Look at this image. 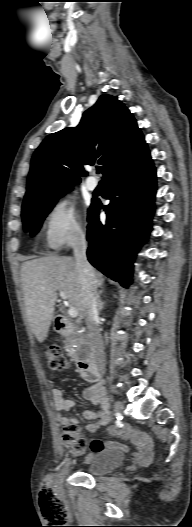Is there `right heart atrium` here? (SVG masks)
<instances>
[{"label": "right heart atrium", "mask_w": 192, "mask_h": 527, "mask_svg": "<svg viewBox=\"0 0 192 527\" xmlns=\"http://www.w3.org/2000/svg\"><path fill=\"white\" fill-rule=\"evenodd\" d=\"M43 226L46 245L53 250H60L84 235L79 213L66 199H59L50 205Z\"/></svg>", "instance_id": "obj_1"}]
</instances>
